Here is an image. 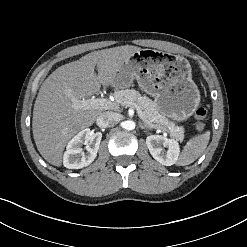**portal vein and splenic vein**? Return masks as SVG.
<instances>
[{
	"label": "portal vein and splenic vein",
	"mask_w": 247,
	"mask_h": 247,
	"mask_svg": "<svg viewBox=\"0 0 247 247\" xmlns=\"http://www.w3.org/2000/svg\"><path fill=\"white\" fill-rule=\"evenodd\" d=\"M74 103V107L76 108H80V109H115L117 108V103L112 102L109 99H105V98H90V99H82V100H73ZM128 106H131L133 108H135L137 110V113L139 115V117L145 121L148 125H150L151 127H155V128H161L163 129L161 126L158 125H154L151 122L147 121L144 118V114L142 112V110L140 109V107L136 104V103H132V102H128Z\"/></svg>",
	"instance_id": "portal-vein-and-splenic-vein-1"
}]
</instances>
